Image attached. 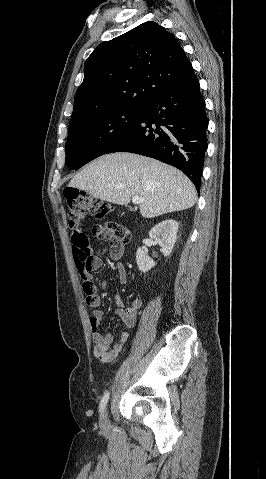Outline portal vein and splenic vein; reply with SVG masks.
<instances>
[{
    "label": "portal vein and splenic vein",
    "mask_w": 266,
    "mask_h": 479,
    "mask_svg": "<svg viewBox=\"0 0 266 479\" xmlns=\"http://www.w3.org/2000/svg\"><path fill=\"white\" fill-rule=\"evenodd\" d=\"M145 200L143 198H140L139 196H135L132 198V203L133 204H140L143 203Z\"/></svg>",
    "instance_id": "1"
}]
</instances>
